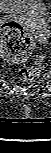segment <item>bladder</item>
<instances>
[{
	"label": "bladder",
	"mask_w": 51,
	"mask_h": 153,
	"mask_svg": "<svg viewBox=\"0 0 51 153\" xmlns=\"http://www.w3.org/2000/svg\"><path fill=\"white\" fill-rule=\"evenodd\" d=\"M0 7L5 13L22 14L46 18L48 7L44 0H0Z\"/></svg>",
	"instance_id": "31cf9c89"
}]
</instances>
